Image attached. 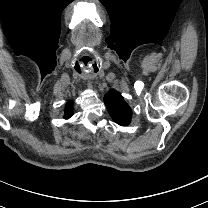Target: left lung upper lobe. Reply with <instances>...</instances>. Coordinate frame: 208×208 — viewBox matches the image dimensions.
Returning <instances> with one entry per match:
<instances>
[{
  "mask_svg": "<svg viewBox=\"0 0 208 208\" xmlns=\"http://www.w3.org/2000/svg\"><path fill=\"white\" fill-rule=\"evenodd\" d=\"M104 103L112 119L121 126L130 124L132 110L116 90H110L104 96Z\"/></svg>",
  "mask_w": 208,
  "mask_h": 208,
  "instance_id": "5c2ea615",
  "label": "left lung upper lobe"
}]
</instances>
